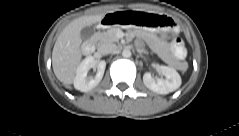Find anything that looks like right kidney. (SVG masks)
<instances>
[{"mask_svg": "<svg viewBox=\"0 0 239 136\" xmlns=\"http://www.w3.org/2000/svg\"><path fill=\"white\" fill-rule=\"evenodd\" d=\"M91 68H97V73L94 77L87 76ZM105 68V61H96L93 56H87L76 70L74 79L75 89L81 92H88L95 88L102 80Z\"/></svg>", "mask_w": 239, "mask_h": 136, "instance_id": "right-kidney-1", "label": "right kidney"}]
</instances>
